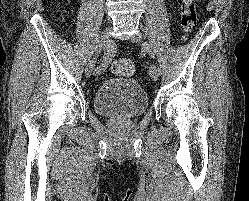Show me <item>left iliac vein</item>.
I'll use <instances>...</instances> for the list:
<instances>
[{"instance_id":"4c4485c4","label":"left iliac vein","mask_w":249,"mask_h":201,"mask_svg":"<svg viewBox=\"0 0 249 201\" xmlns=\"http://www.w3.org/2000/svg\"><path fill=\"white\" fill-rule=\"evenodd\" d=\"M131 40L133 42L139 43L142 40V35L141 33H137L131 37ZM150 77L153 81H156L159 77V73L157 72V68L151 67L149 70Z\"/></svg>"}]
</instances>
